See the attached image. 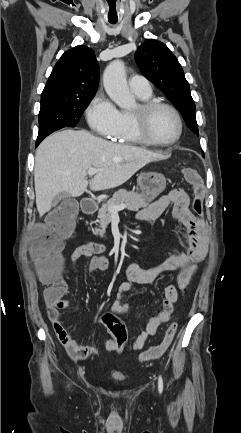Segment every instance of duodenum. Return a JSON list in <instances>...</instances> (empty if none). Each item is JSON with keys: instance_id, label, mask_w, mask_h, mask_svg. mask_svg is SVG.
<instances>
[{"instance_id": "1", "label": "duodenum", "mask_w": 241, "mask_h": 433, "mask_svg": "<svg viewBox=\"0 0 241 433\" xmlns=\"http://www.w3.org/2000/svg\"><path fill=\"white\" fill-rule=\"evenodd\" d=\"M81 210L84 214H87V215L94 213L96 210L95 201L91 198H87V197L83 198L81 200ZM88 245H90L92 250H94L96 252L100 250V246L95 244V243L90 242V243H88Z\"/></svg>"}]
</instances>
